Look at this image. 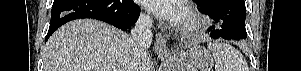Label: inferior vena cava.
Returning <instances> with one entry per match:
<instances>
[{
	"instance_id": "602c4592",
	"label": "inferior vena cava",
	"mask_w": 301,
	"mask_h": 71,
	"mask_svg": "<svg viewBox=\"0 0 301 71\" xmlns=\"http://www.w3.org/2000/svg\"><path fill=\"white\" fill-rule=\"evenodd\" d=\"M152 20L148 15H140L131 29L133 51L125 71H143L141 56L147 53L152 42Z\"/></svg>"
}]
</instances>
